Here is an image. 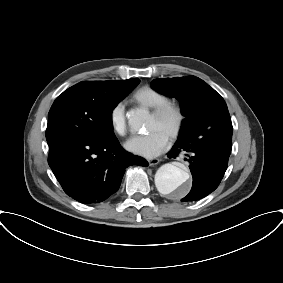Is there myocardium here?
Wrapping results in <instances>:
<instances>
[{"mask_svg":"<svg viewBox=\"0 0 283 283\" xmlns=\"http://www.w3.org/2000/svg\"><path fill=\"white\" fill-rule=\"evenodd\" d=\"M168 114H173L175 117L174 126L168 135V138L173 140L181 133L186 121V115L181 104L174 100H167L166 102L153 108L151 112V115L157 118L164 117Z\"/></svg>","mask_w":283,"mask_h":283,"instance_id":"myocardium-1","label":"myocardium"}]
</instances>
